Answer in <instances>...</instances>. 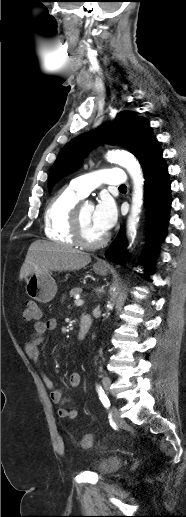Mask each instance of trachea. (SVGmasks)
<instances>
[{
  "mask_svg": "<svg viewBox=\"0 0 186 517\" xmlns=\"http://www.w3.org/2000/svg\"><path fill=\"white\" fill-rule=\"evenodd\" d=\"M119 188L122 189V188H127V187H126V185H121V186H119Z\"/></svg>",
  "mask_w": 186,
  "mask_h": 517,
  "instance_id": "1",
  "label": "trachea"
}]
</instances>
